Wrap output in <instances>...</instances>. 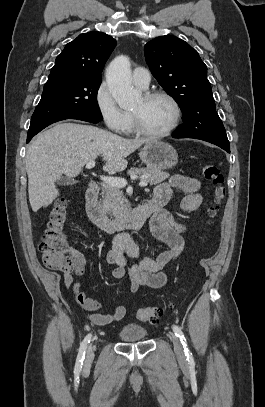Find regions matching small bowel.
Segmentation results:
<instances>
[{
  "label": "small bowel",
  "mask_w": 265,
  "mask_h": 407,
  "mask_svg": "<svg viewBox=\"0 0 265 407\" xmlns=\"http://www.w3.org/2000/svg\"><path fill=\"white\" fill-rule=\"evenodd\" d=\"M172 189L185 193L182 208L191 212L198 209L202 203L199 193L200 181L196 178L174 174L168 182L157 185L154 192L155 199L166 203L171 197ZM164 205V206H165ZM163 207L156 210L150 219V227L154 237L167 245V249L155 258L140 257L135 242L128 236H120L106 255L110 265V273L116 279L127 277L130 280V291L135 293L140 287L161 288L166 284L165 269L175 262L182 254L185 246L183 234L185 225L178 222L172 214ZM125 253L137 259L134 265H128ZM85 258L80 253H75L73 272L64 274V284L73 294L77 303L88 313L92 325L104 326L122 320L126 315V307L119 305L112 313L99 312L100 304L86 296L81 290L79 277L85 270Z\"/></svg>",
  "instance_id": "1"
}]
</instances>
